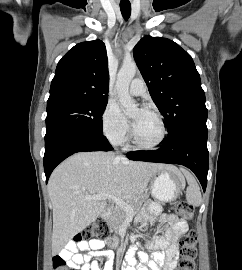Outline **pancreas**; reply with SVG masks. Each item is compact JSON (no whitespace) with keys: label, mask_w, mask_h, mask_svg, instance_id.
<instances>
[{"label":"pancreas","mask_w":242,"mask_h":270,"mask_svg":"<svg viewBox=\"0 0 242 270\" xmlns=\"http://www.w3.org/2000/svg\"><path fill=\"white\" fill-rule=\"evenodd\" d=\"M145 199L146 197L143 196L139 200H133V201L128 202L129 205H131V207L133 208L134 214H136L139 211L141 204L143 201H145ZM126 217H127V213L122 208L117 206L113 209L110 216L108 217L107 225L111 231H114L115 233H117L119 229L121 228V225L125 221Z\"/></svg>","instance_id":"pancreas-1"}]
</instances>
